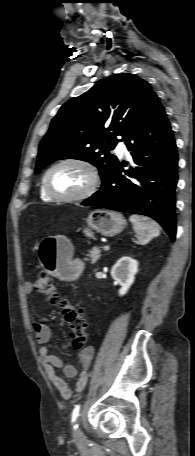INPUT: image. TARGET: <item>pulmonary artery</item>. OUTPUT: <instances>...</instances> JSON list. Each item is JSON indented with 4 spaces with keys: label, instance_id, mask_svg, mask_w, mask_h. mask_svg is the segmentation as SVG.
<instances>
[{
    "label": "pulmonary artery",
    "instance_id": "1",
    "mask_svg": "<svg viewBox=\"0 0 195 456\" xmlns=\"http://www.w3.org/2000/svg\"><path fill=\"white\" fill-rule=\"evenodd\" d=\"M127 151V148H126V145L124 142H119L117 147H116V152L121 155L123 154L124 152Z\"/></svg>",
    "mask_w": 195,
    "mask_h": 456
}]
</instances>
